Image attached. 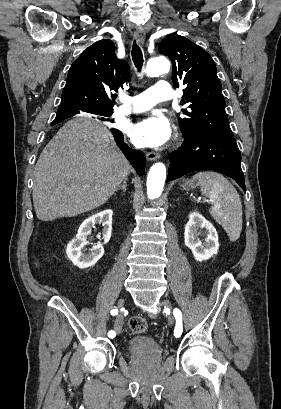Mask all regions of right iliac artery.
Segmentation results:
<instances>
[{
    "label": "right iliac artery",
    "instance_id": "82829eb1",
    "mask_svg": "<svg viewBox=\"0 0 281 409\" xmlns=\"http://www.w3.org/2000/svg\"><path fill=\"white\" fill-rule=\"evenodd\" d=\"M117 313H118V310H117V309H113V310L111 311V314H112V315H116ZM108 336H109L110 338H114V337H115V331L111 330V331L108 333Z\"/></svg>",
    "mask_w": 281,
    "mask_h": 409
}]
</instances>
